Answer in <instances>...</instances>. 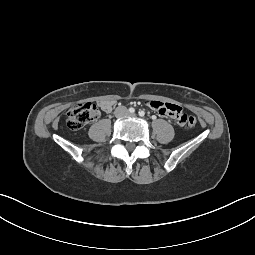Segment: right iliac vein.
Here are the masks:
<instances>
[{"instance_id": "1", "label": "right iliac vein", "mask_w": 255, "mask_h": 255, "mask_svg": "<svg viewBox=\"0 0 255 255\" xmlns=\"http://www.w3.org/2000/svg\"><path fill=\"white\" fill-rule=\"evenodd\" d=\"M115 114H116V116L121 117V116L125 115V109L124 108H119V109L116 110Z\"/></svg>"}]
</instances>
